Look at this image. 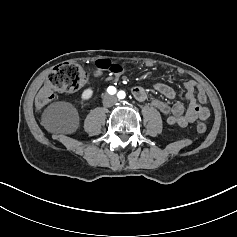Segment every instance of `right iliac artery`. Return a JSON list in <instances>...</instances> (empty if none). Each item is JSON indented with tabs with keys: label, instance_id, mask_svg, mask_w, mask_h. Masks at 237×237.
<instances>
[{
	"label": "right iliac artery",
	"instance_id": "82829eb1",
	"mask_svg": "<svg viewBox=\"0 0 237 237\" xmlns=\"http://www.w3.org/2000/svg\"><path fill=\"white\" fill-rule=\"evenodd\" d=\"M107 92L109 94H115L116 93V88L114 86H109L107 89Z\"/></svg>",
	"mask_w": 237,
	"mask_h": 237
}]
</instances>
